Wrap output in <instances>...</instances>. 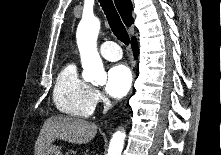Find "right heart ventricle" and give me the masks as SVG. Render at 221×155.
Segmentation results:
<instances>
[{"label":"right heart ventricle","instance_id":"e07e8e85","mask_svg":"<svg viewBox=\"0 0 221 155\" xmlns=\"http://www.w3.org/2000/svg\"><path fill=\"white\" fill-rule=\"evenodd\" d=\"M93 88L83 80L74 63L66 64L59 72L53 90L56 108L67 115L86 118L95 107Z\"/></svg>","mask_w":221,"mask_h":155}]
</instances>
